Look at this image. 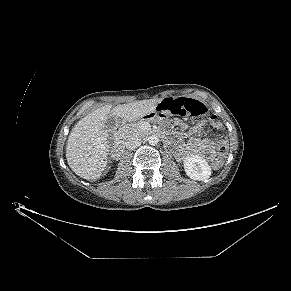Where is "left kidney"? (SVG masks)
Returning a JSON list of instances; mask_svg holds the SVG:
<instances>
[{
  "label": "left kidney",
  "mask_w": 291,
  "mask_h": 291,
  "mask_svg": "<svg viewBox=\"0 0 291 291\" xmlns=\"http://www.w3.org/2000/svg\"><path fill=\"white\" fill-rule=\"evenodd\" d=\"M183 165L187 176L193 180L203 181L211 176V167L201 156H188L184 159Z\"/></svg>",
  "instance_id": "obj_1"
}]
</instances>
